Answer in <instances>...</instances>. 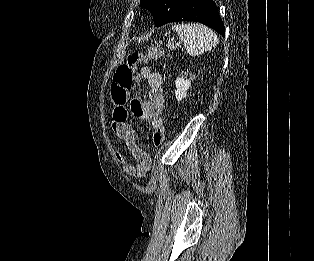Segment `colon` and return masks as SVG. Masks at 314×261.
Here are the masks:
<instances>
[{
  "mask_svg": "<svg viewBox=\"0 0 314 261\" xmlns=\"http://www.w3.org/2000/svg\"><path fill=\"white\" fill-rule=\"evenodd\" d=\"M160 55V47L158 43L149 46L145 52L133 51L129 53L127 61L118 66L111 84V102L114 105L125 104L129 98L131 90L136 85V66L140 63H149L156 60ZM165 126L164 124L155 128L152 140L155 146H160L164 140Z\"/></svg>",
  "mask_w": 314,
  "mask_h": 261,
  "instance_id": "1",
  "label": "colon"
}]
</instances>
